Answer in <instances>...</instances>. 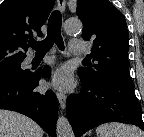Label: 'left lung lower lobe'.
<instances>
[{
    "label": "left lung lower lobe",
    "instance_id": "0a47b994",
    "mask_svg": "<svg viewBox=\"0 0 144 137\" xmlns=\"http://www.w3.org/2000/svg\"><path fill=\"white\" fill-rule=\"evenodd\" d=\"M83 91L71 94L66 101L69 122L75 137L106 122L134 124L144 131L141 106L134 84L112 79L96 83L81 80Z\"/></svg>",
    "mask_w": 144,
    "mask_h": 137
}]
</instances>
